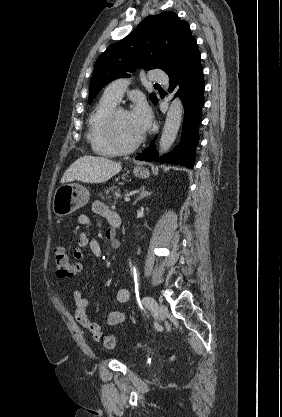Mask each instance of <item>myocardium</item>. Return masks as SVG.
I'll return each mask as SVG.
<instances>
[{
  "instance_id": "obj_1",
  "label": "myocardium",
  "mask_w": 282,
  "mask_h": 417,
  "mask_svg": "<svg viewBox=\"0 0 282 417\" xmlns=\"http://www.w3.org/2000/svg\"><path fill=\"white\" fill-rule=\"evenodd\" d=\"M124 113H129V111L121 106H116L107 114V116L104 119L108 128L107 140L116 151L120 152L133 150L139 147L145 138V135L142 133L136 141L129 144L123 143L118 139L115 133L116 119L119 115Z\"/></svg>"
}]
</instances>
